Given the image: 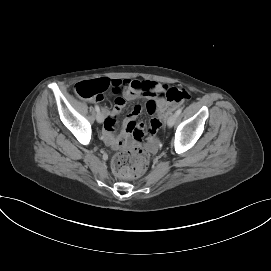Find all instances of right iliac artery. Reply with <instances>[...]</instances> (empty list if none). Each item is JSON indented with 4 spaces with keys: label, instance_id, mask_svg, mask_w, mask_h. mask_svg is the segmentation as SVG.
<instances>
[{
    "label": "right iliac artery",
    "instance_id": "1",
    "mask_svg": "<svg viewBox=\"0 0 271 271\" xmlns=\"http://www.w3.org/2000/svg\"><path fill=\"white\" fill-rule=\"evenodd\" d=\"M95 110H96L97 112H99V111H100V108H99V106H98V105H95Z\"/></svg>",
    "mask_w": 271,
    "mask_h": 271
}]
</instances>
